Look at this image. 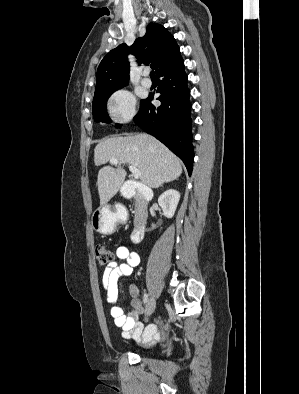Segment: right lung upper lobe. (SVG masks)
Here are the masks:
<instances>
[{
    "label": "right lung upper lobe",
    "mask_w": 299,
    "mask_h": 394,
    "mask_svg": "<svg viewBox=\"0 0 299 394\" xmlns=\"http://www.w3.org/2000/svg\"><path fill=\"white\" fill-rule=\"evenodd\" d=\"M129 53L136 56L140 64L151 63L156 74L181 57L179 47L167 29L162 25L150 23L146 28V34L136 39L132 46L128 47L123 43L103 58L97 69L95 92L128 84Z\"/></svg>",
    "instance_id": "obj_1"
}]
</instances>
